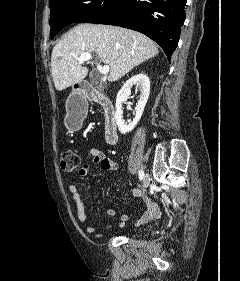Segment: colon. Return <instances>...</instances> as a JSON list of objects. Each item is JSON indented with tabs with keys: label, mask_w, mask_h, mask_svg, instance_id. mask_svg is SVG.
I'll return each instance as SVG.
<instances>
[{
	"label": "colon",
	"mask_w": 240,
	"mask_h": 281,
	"mask_svg": "<svg viewBox=\"0 0 240 281\" xmlns=\"http://www.w3.org/2000/svg\"><path fill=\"white\" fill-rule=\"evenodd\" d=\"M60 165L64 171H74L80 165V157L75 151L67 150L63 153L61 157Z\"/></svg>",
	"instance_id": "colon-1"
}]
</instances>
